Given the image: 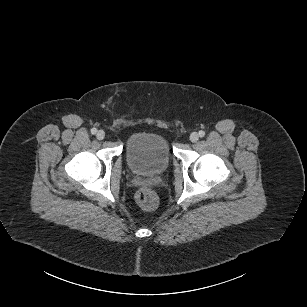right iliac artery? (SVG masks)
Listing matches in <instances>:
<instances>
[{
  "mask_svg": "<svg viewBox=\"0 0 307 307\" xmlns=\"http://www.w3.org/2000/svg\"><path fill=\"white\" fill-rule=\"evenodd\" d=\"M91 133H92V134H96V133H97V129H96V128H92V129H91Z\"/></svg>",
  "mask_w": 307,
  "mask_h": 307,
  "instance_id": "right-iliac-artery-1",
  "label": "right iliac artery"
}]
</instances>
